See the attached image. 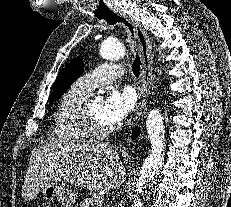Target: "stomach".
I'll list each match as a JSON object with an SVG mask.
<instances>
[{
    "label": "stomach",
    "instance_id": "stomach-1",
    "mask_svg": "<svg viewBox=\"0 0 231 207\" xmlns=\"http://www.w3.org/2000/svg\"><path fill=\"white\" fill-rule=\"evenodd\" d=\"M40 192L48 204L57 199L63 207H74L77 199L76 192L65 183L50 182Z\"/></svg>",
    "mask_w": 231,
    "mask_h": 207
}]
</instances>
